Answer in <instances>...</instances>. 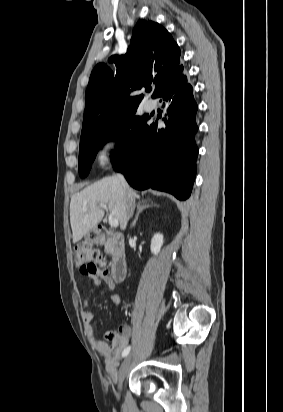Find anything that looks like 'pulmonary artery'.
<instances>
[{
    "label": "pulmonary artery",
    "instance_id": "obj_1",
    "mask_svg": "<svg viewBox=\"0 0 283 412\" xmlns=\"http://www.w3.org/2000/svg\"><path fill=\"white\" fill-rule=\"evenodd\" d=\"M153 109V106H146L147 111H151Z\"/></svg>",
    "mask_w": 283,
    "mask_h": 412
}]
</instances>
